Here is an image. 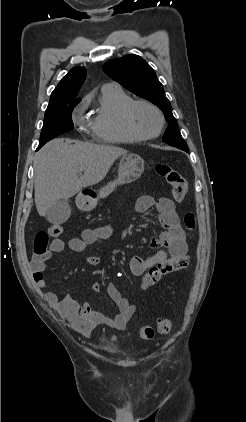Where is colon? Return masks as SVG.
I'll return each instance as SVG.
<instances>
[{"label":"colon","instance_id":"1","mask_svg":"<svg viewBox=\"0 0 246 422\" xmlns=\"http://www.w3.org/2000/svg\"><path fill=\"white\" fill-rule=\"evenodd\" d=\"M155 171L158 176L163 178L171 188L172 194L176 200H181L187 193L188 184L186 179L174 168L168 164H157ZM184 226L189 232H193L196 227L195 215L192 212L185 214ZM63 232V227L59 224H53L46 231H40L34 238V252L36 255H44L48 248L49 237L59 236ZM188 265L187 257H178L167 259L162 263L150 268L143 276V286L149 288L157 284L164 276L182 270ZM39 273H34L37 277ZM157 332L168 334L172 330V322L166 318H159L156 325ZM154 329L151 326H142L139 328V336L142 339H151L154 336Z\"/></svg>","mask_w":246,"mask_h":422}]
</instances>
